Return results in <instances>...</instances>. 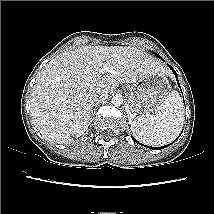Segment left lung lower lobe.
Listing matches in <instances>:
<instances>
[{
  "label": "left lung lower lobe",
  "mask_w": 214,
  "mask_h": 214,
  "mask_svg": "<svg viewBox=\"0 0 214 214\" xmlns=\"http://www.w3.org/2000/svg\"><path fill=\"white\" fill-rule=\"evenodd\" d=\"M170 67V69L173 71V73L175 74V77H176V80H177V83H178V86L180 87V85H179V82H178V76H177V73L175 72V70L171 67V66H169ZM181 135V134H180ZM132 139H133V141H135L136 143H138V144H140L137 140H135L133 137H132ZM141 145H143V144H141ZM169 145H171V144H168V145H165V146H161L159 149H163V148H165V147H167V146H169ZM149 147V146H148ZM151 149H153V150H156L157 148H155V147H150Z\"/></svg>",
  "instance_id": "0a47b994"
}]
</instances>
